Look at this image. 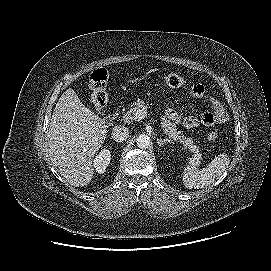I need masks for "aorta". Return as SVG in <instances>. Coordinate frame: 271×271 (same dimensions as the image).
Returning <instances> with one entry per match:
<instances>
[{
    "instance_id": "obj_1",
    "label": "aorta",
    "mask_w": 271,
    "mask_h": 271,
    "mask_svg": "<svg viewBox=\"0 0 271 271\" xmlns=\"http://www.w3.org/2000/svg\"><path fill=\"white\" fill-rule=\"evenodd\" d=\"M136 144L141 149H146L152 144L151 138L146 134H140L136 138Z\"/></svg>"
}]
</instances>
